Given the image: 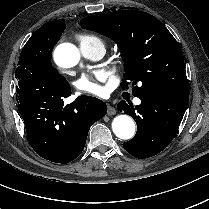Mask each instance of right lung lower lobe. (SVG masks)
<instances>
[{"label": "right lung lower lobe", "mask_w": 209, "mask_h": 209, "mask_svg": "<svg viewBox=\"0 0 209 209\" xmlns=\"http://www.w3.org/2000/svg\"><path fill=\"white\" fill-rule=\"evenodd\" d=\"M71 95L69 84L37 77H24L16 86L18 110L24 120L27 138L44 159L66 164L84 149L93 123L107 113L106 104L91 96H79L64 105Z\"/></svg>", "instance_id": "1"}]
</instances>
